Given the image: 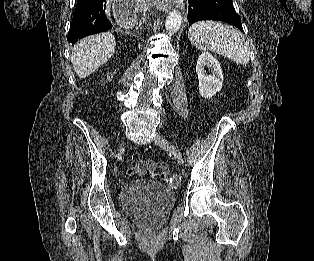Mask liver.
Masks as SVG:
<instances>
[{
	"mask_svg": "<svg viewBox=\"0 0 314 261\" xmlns=\"http://www.w3.org/2000/svg\"><path fill=\"white\" fill-rule=\"evenodd\" d=\"M115 48V37L110 32L78 41L71 55V62L78 77L85 78L95 72L111 58Z\"/></svg>",
	"mask_w": 314,
	"mask_h": 261,
	"instance_id": "1",
	"label": "liver"
}]
</instances>
